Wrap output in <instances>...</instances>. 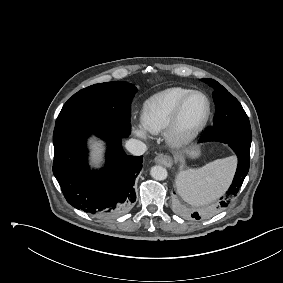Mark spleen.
I'll return each mask as SVG.
<instances>
[{
  "label": "spleen",
  "instance_id": "1",
  "mask_svg": "<svg viewBox=\"0 0 283 283\" xmlns=\"http://www.w3.org/2000/svg\"><path fill=\"white\" fill-rule=\"evenodd\" d=\"M236 166L233 156L217 159L198 169L180 172L176 186L180 196L190 205L210 203L229 186Z\"/></svg>",
  "mask_w": 283,
  "mask_h": 283
}]
</instances>
